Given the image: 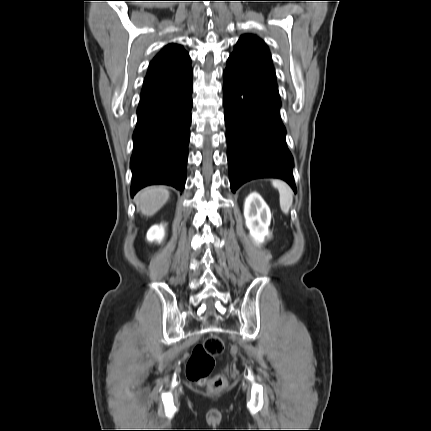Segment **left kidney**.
<instances>
[{"label":"left kidney","mask_w":431,"mask_h":431,"mask_svg":"<svg viewBox=\"0 0 431 431\" xmlns=\"http://www.w3.org/2000/svg\"><path fill=\"white\" fill-rule=\"evenodd\" d=\"M244 218L246 227L255 243H264L265 238L269 236L268 227L271 222V212L258 193L252 192L245 199Z\"/></svg>","instance_id":"1"}]
</instances>
